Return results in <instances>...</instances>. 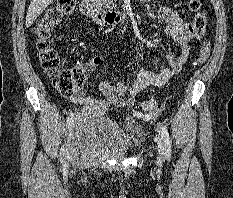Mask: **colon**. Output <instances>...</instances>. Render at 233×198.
Segmentation results:
<instances>
[{
    "instance_id": "1",
    "label": "colon",
    "mask_w": 233,
    "mask_h": 198,
    "mask_svg": "<svg viewBox=\"0 0 233 198\" xmlns=\"http://www.w3.org/2000/svg\"><path fill=\"white\" fill-rule=\"evenodd\" d=\"M77 0H57L49 7L43 16L38 19L34 27V35L38 49L40 64L51 79L57 90L65 95H71L84 80V74L80 67L63 68L60 66V59L56 49L52 46L51 36L56 27L76 9ZM190 10L194 13L193 29L196 37H201L206 27V17L201 10V0H188ZM210 55V44L203 42L196 65L207 61ZM141 107L150 115L161 112L163 104L155 99H148L142 102Z\"/></svg>"
}]
</instances>
